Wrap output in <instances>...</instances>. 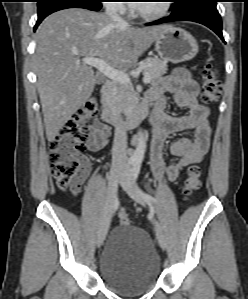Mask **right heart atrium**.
I'll return each instance as SVG.
<instances>
[{"mask_svg": "<svg viewBox=\"0 0 248 299\" xmlns=\"http://www.w3.org/2000/svg\"><path fill=\"white\" fill-rule=\"evenodd\" d=\"M108 2H112V3L109 4L110 5V7H109L110 10L118 12V13H123L125 11V7L118 4L119 2H123L122 0H111V1H108Z\"/></svg>", "mask_w": 248, "mask_h": 299, "instance_id": "1", "label": "right heart atrium"}]
</instances>
